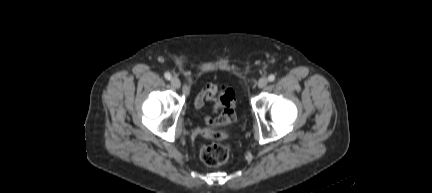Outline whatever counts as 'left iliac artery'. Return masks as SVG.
Returning a JSON list of instances; mask_svg holds the SVG:
<instances>
[{
    "instance_id": "1",
    "label": "left iliac artery",
    "mask_w": 432,
    "mask_h": 193,
    "mask_svg": "<svg viewBox=\"0 0 432 193\" xmlns=\"http://www.w3.org/2000/svg\"><path fill=\"white\" fill-rule=\"evenodd\" d=\"M268 80H269V82H273V81L275 80V75L271 74V75L268 77Z\"/></svg>"
}]
</instances>
